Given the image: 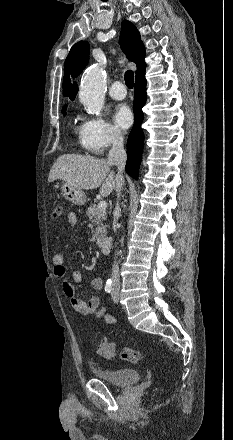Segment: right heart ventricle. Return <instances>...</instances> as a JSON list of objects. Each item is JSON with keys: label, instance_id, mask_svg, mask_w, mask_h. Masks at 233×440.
<instances>
[{"label": "right heart ventricle", "instance_id": "obj_1", "mask_svg": "<svg viewBox=\"0 0 233 440\" xmlns=\"http://www.w3.org/2000/svg\"><path fill=\"white\" fill-rule=\"evenodd\" d=\"M74 131L82 140V126L75 125Z\"/></svg>", "mask_w": 233, "mask_h": 440}]
</instances>
